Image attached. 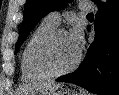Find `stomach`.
I'll list each match as a JSON object with an SVG mask.
<instances>
[{
    "label": "stomach",
    "instance_id": "obj_1",
    "mask_svg": "<svg viewBox=\"0 0 119 95\" xmlns=\"http://www.w3.org/2000/svg\"><path fill=\"white\" fill-rule=\"evenodd\" d=\"M35 95H83L81 92L72 89H63L59 91L43 92Z\"/></svg>",
    "mask_w": 119,
    "mask_h": 95
}]
</instances>
